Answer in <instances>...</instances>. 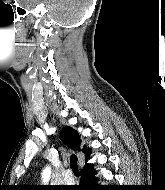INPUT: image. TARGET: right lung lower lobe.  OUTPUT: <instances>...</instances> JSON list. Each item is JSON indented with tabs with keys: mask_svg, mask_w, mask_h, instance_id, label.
Segmentation results:
<instances>
[{
	"mask_svg": "<svg viewBox=\"0 0 165 190\" xmlns=\"http://www.w3.org/2000/svg\"><path fill=\"white\" fill-rule=\"evenodd\" d=\"M95 174L96 172L91 164L85 166L82 172L79 190H110L107 186L97 185L94 183L97 180V178L94 177Z\"/></svg>",
	"mask_w": 165,
	"mask_h": 190,
	"instance_id": "1",
	"label": "right lung lower lobe"
}]
</instances>
